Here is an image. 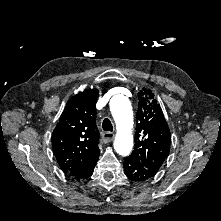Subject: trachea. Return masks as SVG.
I'll list each match as a JSON object with an SVG mask.
<instances>
[{
	"instance_id": "obj_1",
	"label": "trachea",
	"mask_w": 221,
	"mask_h": 221,
	"mask_svg": "<svg viewBox=\"0 0 221 221\" xmlns=\"http://www.w3.org/2000/svg\"><path fill=\"white\" fill-rule=\"evenodd\" d=\"M102 128H103L104 131H109V132L113 131L112 123L108 118H105L103 120Z\"/></svg>"
}]
</instances>
